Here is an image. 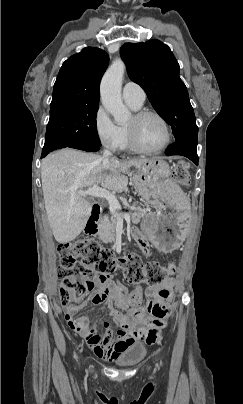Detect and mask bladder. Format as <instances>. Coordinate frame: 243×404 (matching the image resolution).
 <instances>
[{
  "instance_id": "bladder-1",
  "label": "bladder",
  "mask_w": 243,
  "mask_h": 404,
  "mask_svg": "<svg viewBox=\"0 0 243 404\" xmlns=\"http://www.w3.org/2000/svg\"><path fill=\"white\" fill-rule=\"evenodd\" d=\"M147 349L142 343H133L127 346L115 359L121 367H132L138 364L146 355Z\"/></svg>"
}]
</instances>
